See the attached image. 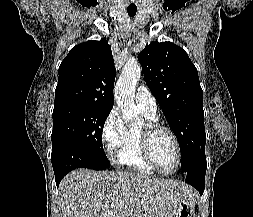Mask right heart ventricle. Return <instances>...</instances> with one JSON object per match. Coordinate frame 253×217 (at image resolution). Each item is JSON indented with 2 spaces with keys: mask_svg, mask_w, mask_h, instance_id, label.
Returning <instances> with one entry per match:
<instances>
[{
  "mask_svg": "<svg viewBox=\"0 0 253 217\" xmlns=\"http://www.w3.org/2000/svg\"><path fill=\"white\" fill-rule=\"evenodd\" d=\"M142 112L147 123H156L157 118L150 116L144 111ZM116 162L139 174L152 175L155 173L142 156L139 130L127 129L126 139L117 151Z\"/></svg>",
  "mask_w": 253,
  "mask_h": 217,
  "instance_id": "1",
  "label": "right heart ventricle"
}]
</instances>
